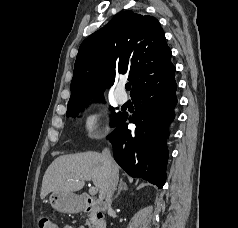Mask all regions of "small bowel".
Instances as JSON below:
<instances>
[{
    "mask_svg": "<svg viewBox=\"0 0 238 228\" xmlns=\"http://www.w3.org/2000/svg\"><path fill=\"white\" fill-rule=\"evenodd\" d=\"M63 228H84L82 226H72V225H66Z\"/></svg>",
    "mask_w": 238,
    "mask_h": 228,
    "instance_id": "small-bowel-1",
    "label": "small bowel"
}]
</instances>
